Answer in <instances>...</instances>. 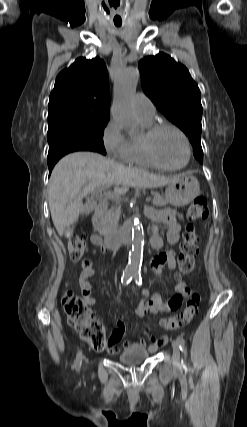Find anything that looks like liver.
<instances>
[{"label": "liver", "instance_id": "1", "mask_svg": "<svg viewBox=\"0 0 247 427\" xmlns=\"http://www.w3.org/2000/svg\"><path fill=\"white\" fill-rule=\"evenodd\" d=\"M177 177H163L127 167L93 152L68 154L55 165L49 180L53 224L62 236L84 211L82 199L97 189L114 184L116 192L125 193L130 187L165 186Z\"/></svg>", "mask_w": 247, "mask_h": 427}]
</instances>
